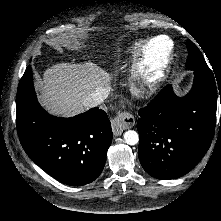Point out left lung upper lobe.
<instances>
[{"label": "left lung upper lobe", "instance_id": "left-lung-upper-lobe-1", "mask_svg": "<svg viewBox=\"0 0 221 221\" xmlns=\"http://www.w3.org/2000/svg\"><path fill=\"white\" fill-rule=\"evenodd\" d=\"M188 59L186 67L194 71L211 72L199 48L190 40H187Z\"/></svg>", "mask_w": 221, "mask_h": 221}]
</instances>
